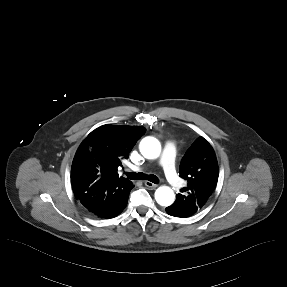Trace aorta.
<instances>
[{"label":"aorta","instance_id":"1","mask_svg":"<svg viewBox=\"0 0 287 287\" xmlns=\"http://www.w3.org/2000/svg\"><path fill=\"white\" fill-rule=\"evenodd\" d=\"M141 154L147 159H155L161 153L160 142L154 137H145L139 145ZM155 200L161 206H170L175 200L174 191L168 186H160L155 191Z\"/></svg>","mask_w":287,"mask_h":287}]
</instances>
